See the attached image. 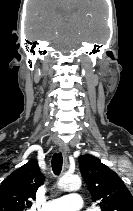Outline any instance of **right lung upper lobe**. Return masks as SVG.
<instances>
[{
    "mask_svg": "<svg viewBox=\"0 0 133 211\" xmlns=\"http://www.w3.org/2000/svg\"><path fill=\"white\" fill-rule=\"evenodd\" d=\"M44 180L36 160L12 172L0 185V211H25L31 207L30 199H35Z\"/></svg>",
    "mask_w": 133,
    "mask_h": 211,
    "instance_id": "obj_1",
    "label": "right lung upper lobe"
}]
</instances>
